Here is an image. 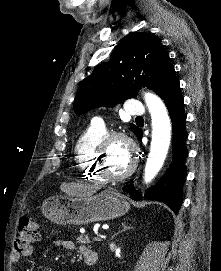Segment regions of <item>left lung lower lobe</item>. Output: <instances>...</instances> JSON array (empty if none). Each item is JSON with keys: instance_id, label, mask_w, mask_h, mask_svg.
Listing matches in <instances>:
<instances>
[{"instance_id": "1", "label": "left lung lower lobe", "mask_w": 221, "mask_h": 271, "mask_svg": "<svg viewBox=\"0 0 221 271\" xmlns=\"http://www.w3.org/2000/svg\"><path fill=\"white\" fill-rule=\"evenodd\" d=\"M170 114L173 126L172 150L173 158L170 167L163 178L153 187L149 188L144 197L147 200H158L167 204L175 214L178 213L183 201V183L185 181L187 157L185 129L186 114L183 109V97L180 92L179 81L173 83L161 97ZM142 140V131L137 135ZM125 192H130L132 199L138 201L141 198L139 192L134 190L133 184L123 187Z\"/></svg>"}]
</instances>
